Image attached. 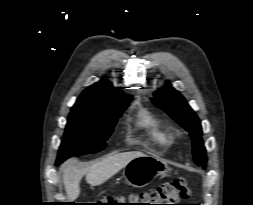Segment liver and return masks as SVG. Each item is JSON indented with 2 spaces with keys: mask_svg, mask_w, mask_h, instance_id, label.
I'll use <instances>...</instances> for the list:
<instances>
[{
  "mask_svg": "<svg viewBox=\"0 0 253 205\" xmlns=\"http://www.w3.org/2000/svg\"><path fill=\"white\" fill-rule=\"evenodd\" d=\"M142 152L130 151L111 154L88 167H82L73 160L62 166V180L69 200H75L80 194V181L86 174L91 186H99L124 168L131 160L143 156Z\"/></svg>",
  "mask_w": 253,
  "mask_h": 205,
  "instance_id": "obj_1",
  "label": "liver"
}]
</instances>
